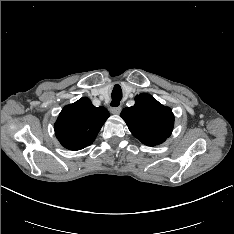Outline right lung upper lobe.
I'll use <instances>...</instances> for the list:
<instances>
[{"mask_svg": "<svg viewBox=\"0 0 234 234\" xmlns=\"http://www.w3.org/2000/svg\"><path fill=\"white\" fill-rule=\"evenodd\" d=\"M109 116L105 107H95L83 97L62 109L54 125L55 134L65 148L80 150L93 143Z\"/></svg>", "mask_w": 234, "mask_h": 234, "instance_id": "1", "label": "right lung upper lobe"}]
</instances>
